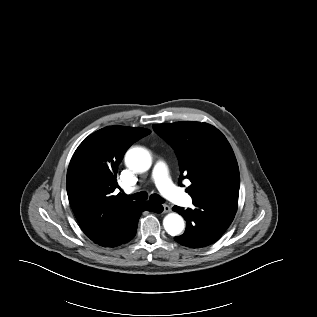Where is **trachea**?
<instances>
[{
	"mask_svg": "<svg viewBox=\"0 0 317 317\" xmlns=\"http://www.w3.org/2000/svg\"><path fill=\"white\" fill-rule=\"evenodd\" d=\"M129 198L138 201L146 200L148 198V194L146 192H139L129 196ZM149 199L155 203H164L163 198L158 194H152Z\"/></svg>",
	"mask_w": 317,
	"mask_h": 317,
	"instance_id": "3493384b",
	"label": "trachea"
}]
</instances>
